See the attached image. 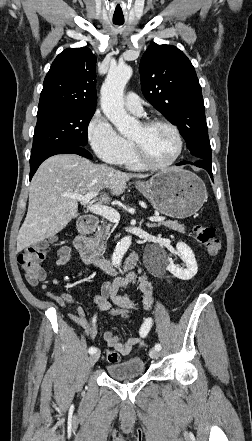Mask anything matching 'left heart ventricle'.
Masks as SVG:
<instances>
[{"mask_svg": "<svg viewBox=\"0 0 252 441\" xmlns=\"http://www.w3.org/2000/svg\"><path fill=\"white\" fill-rule=\"evenodd\" d=\"M130 138L142 147L146 156L154 163L169 161L177 150L176 138L166 126L145 129L139 124Z\"/></svg>", "mask_w": 252, "mask_h": 441, "instance_id": "b2bd125f", "label": "left heart ventricle"}]
</instances>
